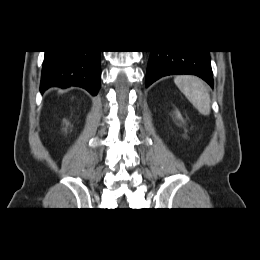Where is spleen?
I'll list each match as a JSON object with an SVG mask.
<instances>
[{
    "mask_svg": "<svg viewBox=\"0 0 260 260\" xmlns=\"http://www.w3.org/2000/svg\"><path fill=\"white\" fill-rule=\"evenodd\" d=\"M175 84L202 115H209L211 109L210 95L206 84L195 76L181 75L174 79Z\"/></svg>",
    "mask_w": 260,
    "mask_h": 260,
    "instance_id": "spleen-1",
    "label": "spleen"
}]
</instances>
